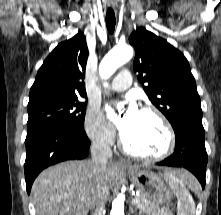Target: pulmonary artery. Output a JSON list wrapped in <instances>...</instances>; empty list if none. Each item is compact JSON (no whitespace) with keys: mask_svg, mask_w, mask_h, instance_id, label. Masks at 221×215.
Returning <instances> with one entry per match:
<instances>
[{"mask_svg":"<svg viewBox=\"0 0 221 215\" xmlns=\"http://www.w3.org/2000/svg\"><path fill=\"white\" fill-rule=\"evenodd\" d=\"M132 83L131 73L128 70H121L112 80L110 88L115 91L126 90Z\"/></svg>","mask_w":221,"mask_h":215,"instance_id":"obj_1","label":"pulmonary artery"}]
</instances>
